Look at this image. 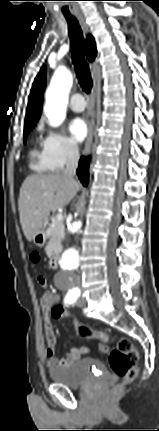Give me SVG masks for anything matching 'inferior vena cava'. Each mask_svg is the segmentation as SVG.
I'll return each mask as SVG.
<instances>
[{
	"label": "inferior vena cava",
	"instance_id": "obj_1",
	"mask_svg": "<svg viewBox=\"0 0 159 431\" xmlns=\"http://www.w3.org/2000/svg\"><path fill=\"white\" fill-rule=\"evenodd\" d=\"M79 161V151L77 147L70 145L67 148V161L64 176L73 179L76 174V169Z\"/></svg>",
	"mask_w": 159,
	"mask_h": 431
}]
</instances>
